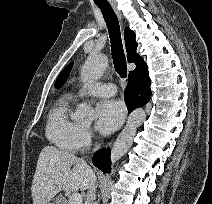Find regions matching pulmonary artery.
I'll list each match as a JSON object with an SVG mask.
<instances>
[{
    "label": "pulmonary artery",
    "mask_w": 212,
    "mask_h": 204,
    "mask_svg": "<svg viewBox=\"0 0 212 204\" xmlns=\"http://www.w3.org/2000/svg\"><path fill=\"white\" fill-rule=\"evenodd\" d=\"M116 93V87L114 84H104L101 82H96L89 85L84 94L90 96H113Z\"/></svg>",
    "instance_id": "obj_1"
}]
</instances>
